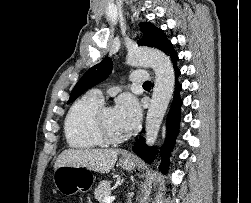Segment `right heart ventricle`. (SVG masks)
Here are the masks:
<instances>
[{"mask_svg": "<svg viewBox=\"0 0 251 203\" xmlns=\"http://www.w3.org/2000/svg\"><path fill=\"white\" fill-rule=\"evenodd\" d=\"M103 100L87 93L69 108L64 121L68 145L79 150H89L104 144L94 129V116Z\"/></svg>", "mask_w": 251, "mask_h": 203, "instance_id": "obj_1", "label": "right heart ventricle"}]
</instances>
